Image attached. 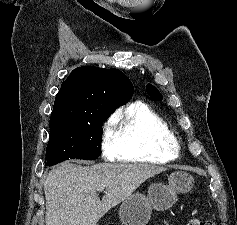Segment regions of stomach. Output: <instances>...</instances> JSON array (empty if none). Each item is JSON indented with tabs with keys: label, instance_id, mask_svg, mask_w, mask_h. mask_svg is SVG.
Wrapping results in <instances>:
<instances>
[{
	"label": "stomach",
	"instance_id": "stomach-1",
	"mask_svg": "<svg viewBox=\"0 0 237 225\" xmlns=\"http://www.w3.org/2000/svg\"><path fill=\"white\" fill-rule=\"evenodd\" d=\"M194 184L193 177L184 171H175L168 177V184L155 183L148 189V195L135 193L121 204L119 216L124 225H145L152 208L163 211L172 207L177 194L189 192Z\"/></svg>",
	"mask_w": 237,
	"mask_h": 225
}]
</instances>
